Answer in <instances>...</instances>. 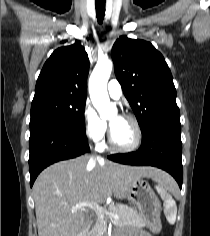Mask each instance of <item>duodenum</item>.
Returning a JSON list of instances; mask_svg holds the SVG:
<instances>
[{"label":"duodenum","instance_id":"obj_1","mask_svg":"<svg viewBox=\"0 0 210 236\" xmlns=\"http://www.w3.org/2000/svg\"><path fill=\"white\" fill-rule=\"evenodd\" d=\"M78 236H84V233L82 232V233H80Z\"/></svg>","mask_w":210,"mask_h":236}]
</instances>
